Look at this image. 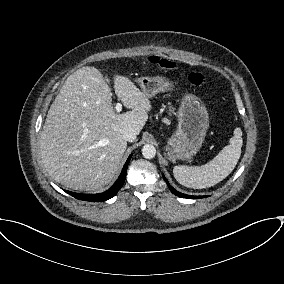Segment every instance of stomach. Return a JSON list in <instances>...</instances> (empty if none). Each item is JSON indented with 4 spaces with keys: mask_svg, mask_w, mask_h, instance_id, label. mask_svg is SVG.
I'll list each match as a JSON object with an SVG mask.
<instances>
[{
    "mask_svg": "<svg viewBox=\"0 0 284 284\" xmlns=\"http://www.w3.org/2000/svg\"><path fill=\"white\" fill-rule=\"evenodd\" d=\"M138 82L148 98L173 89V83L164 76L141 77ZM208 126L209 117L205 105L196 96L186 94L178 110L177 129L167 139V158L172 161L193 158L202 147Z\"/></svg>",
    "mask_w": 284,
    "mask_h": 284,
    "instance_id": "obj_1",
    "label": "stomach"
}]
</instances>
